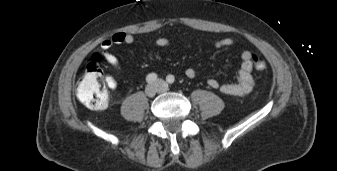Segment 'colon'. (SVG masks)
<instances>
[{
  "label": "colon",
  "instance_id": "1",
  "mask_svg": "<svg viewBox=\"0 0 337 171\" xmlns=\"http://www.w3.org/2000/svg\"><path fill=\"white\" fill-rule=\"evenodd\" d=\"M252 60L257 71L266 69L265 61L258 56L253 55ZM76 94L79 101L90 109L100 110L107 106L109 93L97 55L86 65L84 75L78 83Z\"/></svg>",
  "mask_w": 337,
  "mask_h": 171
}]
</instances>
